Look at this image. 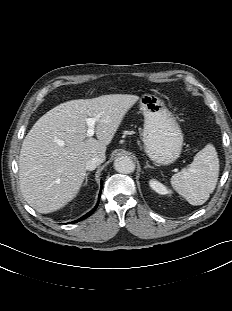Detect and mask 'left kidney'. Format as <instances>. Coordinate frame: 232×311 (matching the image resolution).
Returning a JSON list of instances; mask_svg holds the SVG:
<instances>
[{"label": "left kidney", "mask_w": 232, "mask_h": 311, "mask_svg": "<svg viewBox=\"0 0 232 311\" xmlns=\"http://www.w3.org/2000/svg\"><path fill=\"white\" fill-rule=\"evenodd\" d=\"M149 185L155 192L161 195H165L171 192L169 189H167L166 186L155 179L150 180Z\"/></svg>", "instance_id": "5707ae66"}]
</instances>
